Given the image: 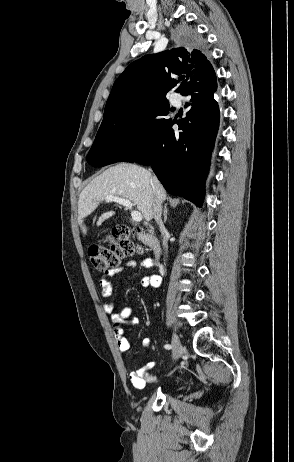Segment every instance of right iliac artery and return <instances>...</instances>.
Segmentation results:
<instances>
[{"mask_svg": "<svg viewBox=\"0 0 294 462\" xmlns=\"http://www.w3.org/2000/svg\"><path fill=\"white\" fill-rule=\"evenodd\" d=\"M164 348H165V349H171L172 346H171L170 344H166V345L164 346Z\"/></svg>", "mask_w": 294, "mask_h": 462, "instance_id": "82829eb1", "label": "right iliac artery"}]
</instances>
